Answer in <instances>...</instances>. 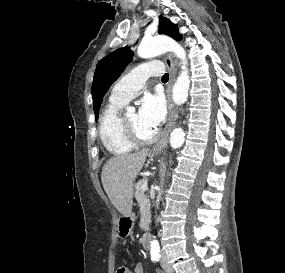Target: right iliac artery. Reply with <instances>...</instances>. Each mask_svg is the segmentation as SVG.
Here are the masks:
<instances>
[{
  "instance_id": "1",
  "label": "right iliac artery",
  "mask_w": 285,
  "mask_h": 273,
  "mask_svg": "<svg viewBox=\"0 0 285 273\" xmlns=\"http://www.w3.org/2000/svg\"><path fill=\"white\" fill-rule=\"evenodd\" d=\"M160 255H153L152 257H151V259L153 260V261H158L159 259H160Z\"/></svg>"
}]
</instances>
